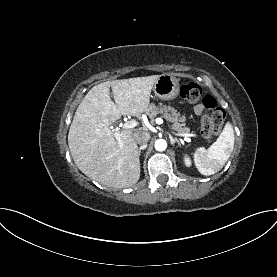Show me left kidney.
I'll return each mask as SVG.
<instances>
[{"label": "left kidney", "instance_id": "left-kidney-1", "mask_svg": "<svg viewBox=\"0 0 277 277\" xmlns=\"http://www.w3.org/2000/svg\"><path fill=\"white\" fill-rule=\"evenodd\" d=\"M184 163L187 167H190L191 166V160L189 159L188 156H185L184 157Z\"/></svg>", "mask_w": 277, "mask_h": 277}]
</instances>
